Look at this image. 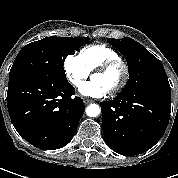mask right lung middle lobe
Instances as JSON below:
<instances>
[{"label":"right lung middle lobe","mask_w":178,"mask_h":178,"mask_svg":"<svg viewBox=\"0 0 178 178\" xmlns=\"http://www.w3.org/2000/svg\"><path fill=\"white\" fill-rule=\"evenodd\" d=\"M88 40L85 37H46L25 45L11 67L9 80L66 78L63 64L67 55Z\"/></svg>","instance_id":"dd1d6c3e"}]
</instances>
